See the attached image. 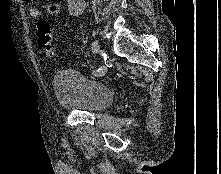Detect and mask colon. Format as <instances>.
I'll return each instance as SVG.
<instances>
[{
  "mask_svg": "<svg viewBox=\"0 0 221 174\" xmlns=\"http://www.w3.org/2000/svg\"><path fill=\"white\" fill-rule=\"evenodd\" d=\"M36 25V39L39 47L48 56H53L55 54V48L53 43L52 27L50 23L45 19H38Z\"/></svg>",
  "mask_w": 221,
  "mask_h": 174,
  "instance_id": "5ec220e1",
  "label": "colon"
}]
</instances>
